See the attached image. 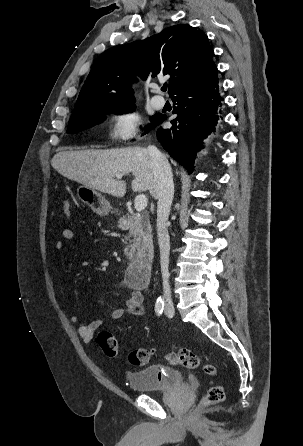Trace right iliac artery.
<instances>
[{
    "label": "right iliac artery",
    "mask_w": 303,
    "mask_h": 446,
    "mask_svg": "<svg viewBox=\"0 0 303 446\" xmlns=\"http://www.w3.org/2000/svg\"><path fill=\"white\" fill-rule=\"evenodd\" d=\"M164 310V301L161 299H158L155 304V312L158 316H160L163 313Z\"/></svg>",
    "instance_id": "obj_1"
}]
</instances>
